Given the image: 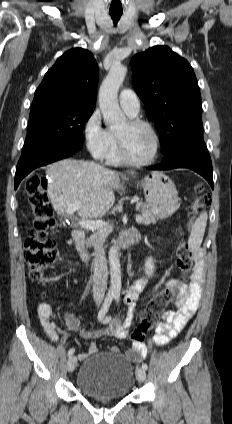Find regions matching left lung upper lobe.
<instances>
[{"label": "left lung upper lobe", "instance_id": "left-lung-upper-lobe-1", "mask_svg": "<svg viewBox=\"0 0 232 424\" xmlns=\"http://www.w3.org/2000/svg\"><path fill=\"white\" fill-rule=\"evenodd\" d=\"M134 88L161 137L163 154L184 135L202 129L201 95L191 65L167 46L131 60Z\"/></svg>", "mask_w": 232, "mask_h": 424}]
</instances>
